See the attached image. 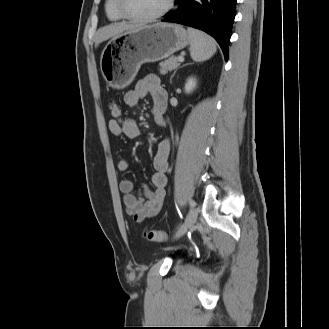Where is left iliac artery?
Returning a JSON list of instances; mask_svg holds the SVG:
<instances>
[{
  "label": "left iliac artery",
  "mask_w": 329,
  "mask_h": 329,
  "mask_svg": "<svg viewBox=\"0 0 329 329\" xmlns=\"http://www.w3.org/2000/svg\"><path fill=\"white\" fill-rule=\"evenodd\" d=\"M189 203H190V206L191 207H194L195 206V202L192 199L189 200Z\"/></svg>",
  "instance_id": "left-iliac-artery-1"
}]
</instances>
